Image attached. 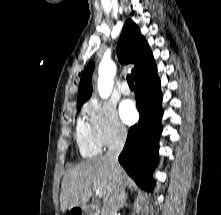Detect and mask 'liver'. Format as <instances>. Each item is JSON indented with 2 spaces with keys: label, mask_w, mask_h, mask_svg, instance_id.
Masks as SVG:
<instances>
[{
  "label": "liver",
  "mask_w": 221,
  "mask_h": 215,
  "mask_svg": "<svg viewBox=\"0 0 221 215\" xmlns=\"http://www.w3.org/2000/svg\"><path fill=\"white\" fill-rule=\"evenodd\" d=\"M123 181L127 176L122 170ZM115 181L110 163L105 156L93 158L69 169L63 178L60 192V210L64 213L84 206L92 195V190L100 189L99 196L104 203L111 197Z\"/></svg>",
  "instance_id": "obj_1"
}]
</instances>
